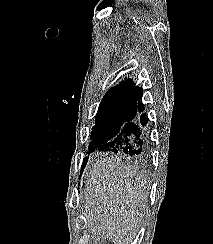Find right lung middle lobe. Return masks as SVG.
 <instances>
[{
    "label": "right lung middle lobe",
    "instance_id": "1",
    "mask_svg": "<svg viewBox=\"0 0 213 244\" xmlns=\"http://www.w3.org/2000/svg\"><path fill=\"white\" fill-rule=\"evenodd\" d=\"M136 104L137 99L134 97L103 99L95 116L89 151L116 137L123 125L134 116Z\"/></svg>",
    "mask_w": 213,
    "mask_h": 244
}]
</instances>
